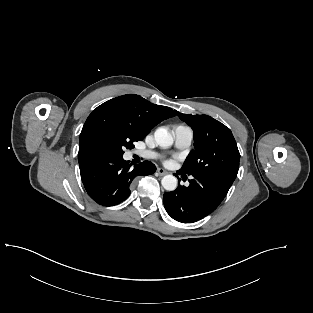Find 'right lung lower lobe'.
<instances>
[{"mask_svg": "<svg viewBox=\"0 0 313 313\" xmlns=\"http://www.w3.org/2000/svg\"><path fill=\"white\" fill-rule=\"evenodd\" d=\"M81 179L88 195L98 204L114 206L131 193L130 188L138 176L153 174L155 165L150 161L133 168L123 156L95 153L78 159Z\"/></svg>", "mask_w": 313, "mask_h": 313, "instance_id": "98d812e1", "label": "right lung lower lobe"}]
</instances>
